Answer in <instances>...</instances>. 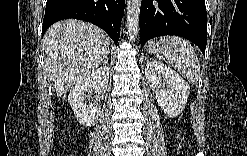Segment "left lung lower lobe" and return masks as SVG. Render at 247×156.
<instances>
[{
	"label": "left lung lower lobe",
	"mask_w": 247,
	"mask_h": 156,
	"mask_svg": "<svg viewBox=\"0 0 247 156\" xmlns=\"http://www.w3.org/2000/svg\"><path fill=\"white\" fill-rule=\"evenodd\" d=\"M141 46L151 38L177 35L195 43L205 56L207 12L204 0H142Z\"/></svg>",
	"instance_id": "left-lung-lower-lobe-1"
}]
</instances>
